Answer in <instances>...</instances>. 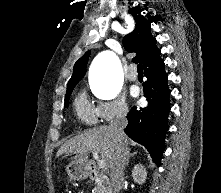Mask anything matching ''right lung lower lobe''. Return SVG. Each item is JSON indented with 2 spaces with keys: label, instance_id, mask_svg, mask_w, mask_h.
<instances>
[{
  "label": "right lung lower lobe",
  "instance_id": "98d812e1",
  "mask_svg": "<svg viewBox=\"0 0 221 193\" xmlns=\"http://www.w3.org/2000/svg\"><path fill=\"white\" fill-rule=\"evenodd\" d=\"M145 76L147 81L143 84V91L148 106L140 109L132 107L127 115L128 125L124 132L135 142L144 145L159 166L165 147L170 111V90L164 62L145 71Z\"/></svg>",
  "mask_w": 221,
  "mask_h": 193
}]
</instances>
